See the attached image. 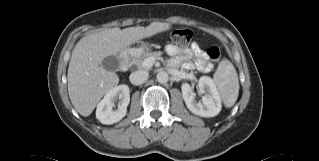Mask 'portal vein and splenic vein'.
<instances>
[{"instance_id": "portal-vein-and-splenic-vein-1", "label": "portal vein and splenic vein", "mask_w": 319, "mask_h": 161, "mask_svg": "<svg viewBox=\"0 0 319 161\" xmlns=\"http://www.w3.org/2000/svg\"><path fill=\"white\" fill-rule=\"evenodd\" d=\"M154 61H155V58L149 57V58L145 59V61L143 62V66L144 67H151L153 65Z\"/></svg>"}]
</instances>
